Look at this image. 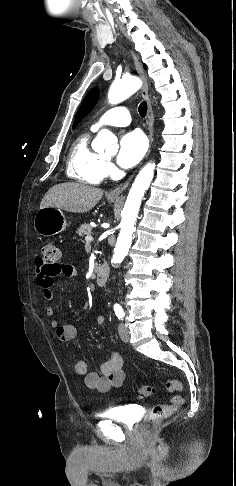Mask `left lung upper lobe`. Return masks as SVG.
I'll return each mask as SVG.
<instances>
[{"label":"left lung upper lobe","instance_id":"5c2ea615","mask_svg":"<svg viewBox=\"0 0 236 486\" xmlns=\"http://www.w3.org/2000/svg\"><path fill=\"white\" fill-rule=\"evenodd\" d=\"M99 98L98 88H92L77 111L73 128L94 108Z\"/></svg>","mask_w":236,"mask_h":486}]
</instances>
